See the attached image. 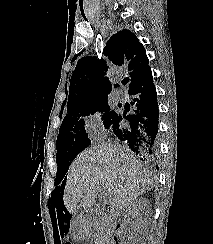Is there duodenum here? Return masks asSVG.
Returning <instances> with one entry per match:
<instances>
[{
    "instance_id": "obj_1",
    "label": "duodenum",
    "mask_w": 213,
    "mask_h": 244,
    "mask_svg": "<svg viewBox=\"0 0 213 244\" xmlns=\"http://www.w3.org/2000/svg\"><path fill=\"white\" fill-rule=\"evenodd\" d=\"M96 216V213H93L91 217H87L86 221L91 222L92 218ZM119 225L117 223L112 224V234L108 237L106 244H118L117 237H118Z\"/></svg>"
}]
</instances>
